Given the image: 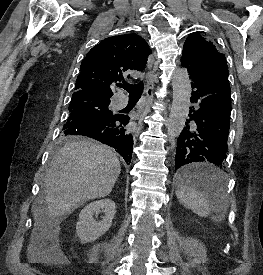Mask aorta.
Here are the masks:
<instances>
[{
  "label": "aorta",
  "instance_id": "aorta-1",
  "mask_svg": "<svg viewBox=\"0 0 263 275\" xmlns=\"http://www.w3.org/2000/svg\"><path fill=\"white\" fill-rule=\"evenodd\" d=\"M173 101L167 124L170 140L177 138L182 132L189 113L191 82L187 70L177 69L172 75Z\"/></svg>",
  "mask_w": 263,
  "mask_h": 275
}]
</instances>
